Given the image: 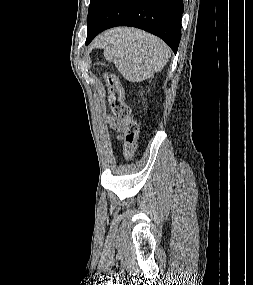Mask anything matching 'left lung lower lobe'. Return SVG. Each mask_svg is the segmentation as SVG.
I'll return each instance as SVG.
<instances>
[{"mask_svg": "<svg viewBox=\"0 0 253 285\" xmlns=\"http://www.w3.org/2000/svg\"><path fill=\"white\" fill-rule=\"evenodd\" d=\"M183 0H109L87 31L86 44L100 32L115 26H133L163 39L177 52L181 39Z\"/></svg>", "mask_w": 253, "mask_h": 285, "instance_id": "1", "label": "left lung lower lobe"}]
</instances>
